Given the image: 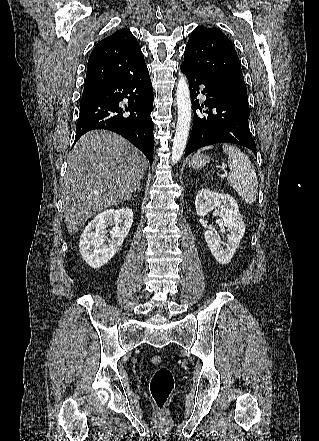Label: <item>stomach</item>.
I'll return each mask as SVG.
<instances>
[{
  "label": "stomach",
  "mask_w": 319,
  "mask_h": 441,
  "mask_svg": "<svg viewBox=\"0 0 319 441\" xmlns=\"http://www.w3.org/2000/svg\"><path fill=\"white\" fill-rule=\"evenodd\" d=\"M209 162V158L205 155L195 154L189 162V166L200 169Z\"/></svg>",
  "instance_id": "obj_1"
}]
</instances>
